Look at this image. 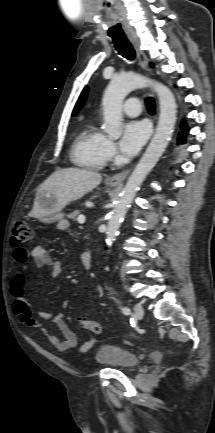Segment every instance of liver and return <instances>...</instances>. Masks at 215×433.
Instances as JSON below:
<instances>
[{
	"label": "liver",
	"instance_id": "6515ba94",
	"mask_svg": "<svg viewBox=\"0 0 215 433\" xmlns=\"http://www.w3.org/2000/svg\"><path fill=\"white\" fill-rule=\"evenodd\" d=\"M101 181L102 175L98 172L74 167L58 169L39 186L37 193L50 192L55 198L53 210H61L71 201L82 198L96 188ZM47 214L49 211L43 210L39 206L36 194L30 216L41 218Z\"/></svg>",
	"mask_w": 215,
	"mask_h": 433
}]
</instances>
